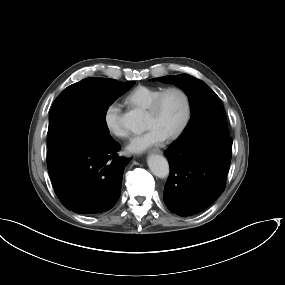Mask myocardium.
<instances>
[{
    "label": "myocardium",
    "mask_w": 285,
    "mask_h": 285,
    "mask_svg": "<svg viewBox=\"0 0 285 285\" xmlns=\"http://www.w3.org/2000/svg\"><path fill=\"white\" fill-rule=\"evenodd\" d=\"M172 91L178 92L183 97V100L185 102V113H184L183 120H182L181 124L179 125V127L173 133L166 136L167 139H171V140L176 139L182 135V133L187 128L189 121H190V118H191L192 105H191L190 96L187 93V91L185 89L179 87V86L167 87V88L161 90L157 94V96L152 100V102L150 103V105L147 108L148 113L155 114L158 111L163 98L169 92H172Z\"/></svg>",
    "instance_id": "myocardium-1"
}]
</instances>
